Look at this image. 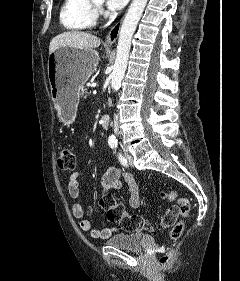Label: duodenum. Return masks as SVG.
I'll list each match as a JSON object with an SVG mask.
<instances>
[{
  "label": "duodenum",
  "instance_id": "410a0bca",
  "mask_svg": "<svg viewBox=\"0 0 240 281\" xmlns=\"http://www.w3.org/2000/svg\"><path fill=\"white\" fill-rule=\"evenodd\" d=\"M100 124L105 129H107L109 127V114L107 112H103L101 114Z\"/></svg>",
  "mask_w": 240,
  "mask_h": 281
}]
</instances>
